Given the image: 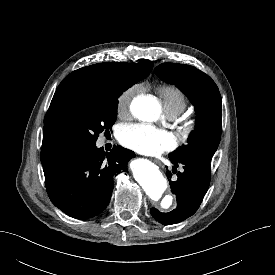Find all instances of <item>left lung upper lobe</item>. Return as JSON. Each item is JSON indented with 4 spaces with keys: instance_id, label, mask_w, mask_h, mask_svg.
Instances as JSON below:
<instances>
[{
    "instance_id": "left-lung-upper-lobe-1",
    "label": "left lung upper lobe",
    "mask_w": 275,
    "mask_h": 275,
    "mask_svg": "<svg viewBox=\"0 0 275 275\" xmlns=\"http://www.w3.org/2000/svg\"><path fill=\"white\" fill-rule=\"evenodd\" d=\"M155 73L163 81L175 84L189 98L197 114L196 128L190 133L187 144L169 157L211 160L222 131V101L218 87L207 74L189 65L162 63L155 68Z\"/></svg>"
}]
</instances>
